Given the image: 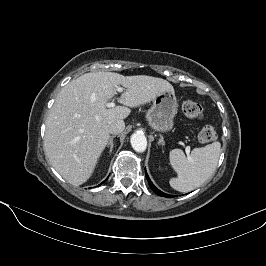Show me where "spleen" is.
<instances>
[{
  "label": "spleen",
  "mask_w": 266,
  "mask_h": 266,
  "mask_svg": "<svg viewBox=\"0 0 266 266\" xmlns=\"http://www.w3.org/2000/svg\"><path fill=\"white\" fill-rule=\"evenodd\" d=\"M220 152L219 142L194 148L189 156L181 149H173L169 160L178 176L170 179V186L179 192H190L201 186L215 172Z\"/></svg>",
  "instance_id": "spleen-1"
}]
</instances>
